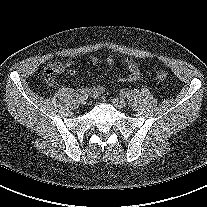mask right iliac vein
Here are the masks:
<instances>
[{
  "mask_svg": "<svg viewBox=\"0 0 207 207\" xmlns=\"http://www.w3.org/2000/svg\"><path fill=\"white\" fill-rule=\"evenodd\" d=\"M79 100H80L81 104H86V102H87V95H80Z\"/></svg>",
  "mask_w": 207,
  "mask_h": 207,
  "instance_id": "obj_1",
  "label": "right iliac vein"
}]
</instances>
